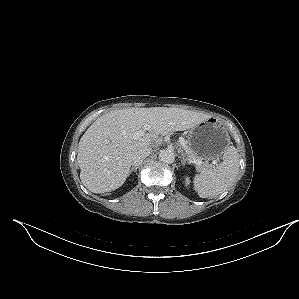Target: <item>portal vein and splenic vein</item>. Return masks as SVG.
Returning <instances> with one entry per match:
<instances>
[{
  "label": "portal vein and splenic vein",
  "mask_w": 299,
  "mask_h": 299,
  "mask_svg": "<svg viewBox=\"0 0 299 299\" xmlns=\"http://www.w3.org/2000/svg\"><path fill=\"white\" fill-rule=\"evenodd\" d=\"M146 130H148V127H147V126H145L144 130L136 131V132L134 133L135 138H139V137L143 136ZM180 143H181V145H182V148L185 150V152L188 153L187 146H186V142L182 139V140L180 141ZM190 161H191L192 163L196 164V165H201V164H202V161L199 160V159H191Z\"/></svg>",
  "instance_id": "1"
}]
</instances>
